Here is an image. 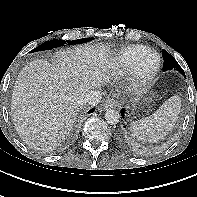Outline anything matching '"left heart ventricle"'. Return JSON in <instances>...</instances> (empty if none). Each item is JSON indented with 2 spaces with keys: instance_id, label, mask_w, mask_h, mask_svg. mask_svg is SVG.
Segmentation results:
<instances>
[{
  "instance_id": "1",
  "label": "left heart ventricle",
  "mask_w": 197,
  "mask_h": 197,
  "mask_svg": "<svg viewBox=\"0 0 197 197\" xmlns=\"http://www.w3.org/2000/svg\"><path fill=\"white\" fill-rule=\"evenodd\" d=\"M156 64L157 58L155 56H151L143 62L141 69L144 72H149L155 68Z\"/></svg>"
}]
</instances>
